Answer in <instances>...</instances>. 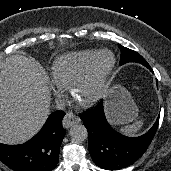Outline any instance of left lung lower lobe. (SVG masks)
Instances as JSON below:
<instances>
[{"mask_svg": "<svg viewBox=\"0 0 171 171\" xmlns=\"http://www.w3.org/2000/svg\"><path fill=\"white\" fill-rule=\"evenodd\" d=\"M81 119L88 130L90 155L97 166L106 170H119L138 160L150 145L159 123L158 117L152 128L140 137L123 136L108 124L103 101Z\"/></svg>", "mask_w": 171, "mask_h": 171, "instance_id": "0a47b994", "label": "left lung lower lobe"}]
</instances>
